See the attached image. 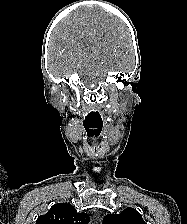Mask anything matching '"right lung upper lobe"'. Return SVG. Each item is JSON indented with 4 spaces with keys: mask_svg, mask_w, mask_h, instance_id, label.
<instances>
[{
    "mask_svg": "<svg viewBox=\"0 0 187 224\" xmlns=\"http://www.w3.org/2000/svg\"><path fill=\"white\" fill-rule=\"evenodd\" d=\"M89 221L87 213H78L68 203H57L45 215L39 216L36 224H88Z\"/></svg>",
    "mask_w": 187,
    "mask_h": 224,
    "instance_id": "obj_1",
    "label": "right lung upper lobe"
}]
</instances>
